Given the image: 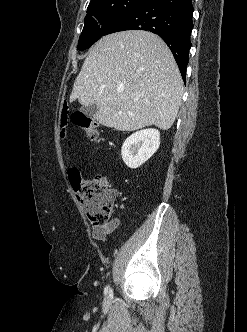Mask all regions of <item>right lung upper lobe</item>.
I'll list each match as a JSON object with an SVG mask.
<instances>
[{
    "instance_id": "right-lung-upper-lobe-1",
    "label": "right lung upper lobe",
    "mask_w": 247,
    "mask_h": 332,
    "mask_svg": "<svg viewBox=\"0 0 247 332\" xmlns=\"http://www.w3.org/2000/svg\"><path fill=\"white\" fill-rule=\"evenodd\" d=\"M96 1H99V0H91V1H90V4H92V3L96 2ZM90 4H89V5H90Z\"/></svg>"
}]
</instances>
